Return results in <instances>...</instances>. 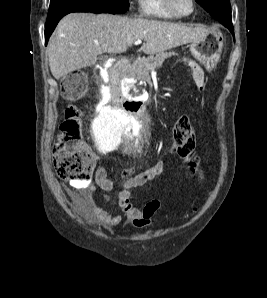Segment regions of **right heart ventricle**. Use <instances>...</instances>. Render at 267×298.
<instances>
[{
  "label": "right heart ventricle",
  "mask_w": 267,
  "mask_h": 298,
  "mask_svg": "<svg viewBox=\"0 0 267 298\" xmlns=\"http://www.w3.org/2000/svg\"><path fill=\"white\" fill-rule=\"evenodd\" d=\"M138 10L142 17L158 20H173L176 17L163 6L162 0H138Z\"/></svg>",
  "instance_id": "right-heart-ventricle-1"
}]
</instances>
